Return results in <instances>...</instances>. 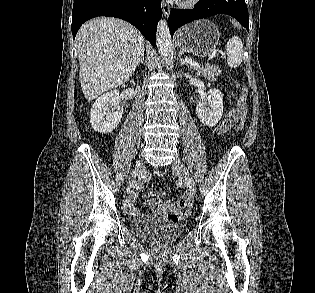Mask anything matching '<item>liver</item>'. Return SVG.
Listing matches in <instances>:
<instances>
[{
	"mask_svg": "<svg viewBox=\"0 0 315 293\" xmlns=\"http://www.w3.org/2000/svg\"><path fill=\"white\" fill-rule=\"evenodd\" d=\"M79 80L84 97L92 101L125 83L144 52V38L131 24L97 18L78 31Z\"/></svg>",
	"mask_w": 315,
	"mask_h": 293,
	"instance_id": "1",
	"label": "liver"
}]
</instances>
